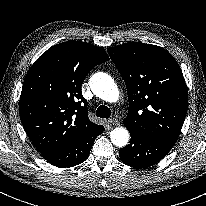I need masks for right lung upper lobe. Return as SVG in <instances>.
Here are the masks:
<instances>
[{
	"mask_svg": "<svg viewBox=\"0 0 206 206\" xmlns=\"http://www.w3.org/2000/svg\"><path fill=\"white\" fill-rule=\"evenodd\" d=\"M109 60L102 47L67 41L49 48L24 79L19 114L28 137L43 155L75 144L102 125L91 122L81 86Z\"/></svg>",
	"mask_w": 206,
	"mask_h": 206,
	"instance_id": "right-lung-upper-lobe-1",
	"label": "right lung upper lobe"
}]
</instances>
